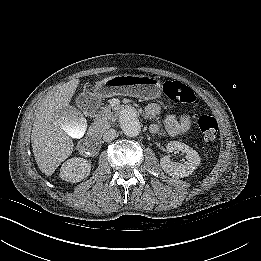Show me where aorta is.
I'll return each instance as SVG.
<instances>
[{"instance_id":"1","label":"aorta","mask_w":261,"mask_h":261,"mask_svg":"<svg viewBox=\"0 0 261 261\" xmlns=\"http://www.w3.org/2000/svg\"><path fill=\"white\" fill-rule=\"evenodd\" d=\"M120 125L128 137H136L141 132V124L137 111L134 108H126L120 115Z\"/></svg>"}]
</instances>
